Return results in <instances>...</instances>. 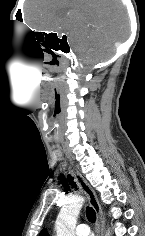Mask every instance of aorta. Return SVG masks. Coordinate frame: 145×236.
<instances>
[{"instance_id":"aorta-1","label":"aorta","mask_w":145,"mask_h":236,"mask_svg":"<svg viewBox=\"0 0 145 236\" xmlns=\"http://www.w3.org/2000/svg\"><path fill=\"white\" fill-rule=\"evenodd\" d=\"M84 199L80 196L73 197L61 208L56 220L57 236H75L77 217L82 208ZM110 236V232L106 233Z\"/></svg>"}]
</instances>
